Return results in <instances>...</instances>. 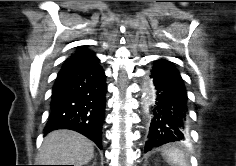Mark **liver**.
<instances>
[{
    "instance_id": "obj_1",
    "label": "liver",
    "mask_w": 236,
    "mask_h": 166,
    "mask_svg": "<svg viewBox=\"0 0 236 166\" xmlns=\"http://www.w3.org/2000/svg\"><path fill=\"white\" fill-rule=\"evenodd\" d=\"M93 155L94 145L86 137L71 130H56L45 137L38 160L43 165L82 166Z\"/></svg>"
}]
</instances>
